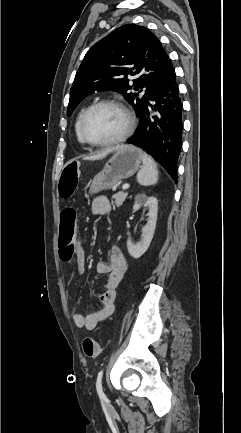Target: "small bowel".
I'll return each mask as SVG.
<instances>
[{
    "instance_id": "1",
    "label": "small bowel",
    "mask_w": 241,
    "mask_h": 433,
    "mask_svg": "<svg viewBox=\"0 0 241 433\" xmlns=\"http://www.w3.org/2000/svg\"><path fill=\"white\" fill-rule=\"evenodd\" d=\"M60 177V176H59ZM60 181V180H58ZM92 212L101 216L111 212L112 206L104 196L93 199L91 204ZM62 227V226H61ZM77 270L80 274L85 272V252L83 248L76 252ZM127 270L126 260L117 246H112L108 262H98L96 265L97 273L107 275V281L99 297L98 308L92 313L84 315L80 312L73 314V322L80 329L93 330L100 323L105 321L114 311L117 288Z\"/></svg>"
}]
</instances>
